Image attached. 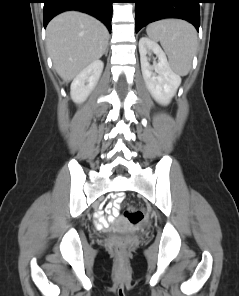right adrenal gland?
Instances as JSON below:
<instances>
[{
  "label": "right adrenal gland",
  "instance_id": "2a0ac1e0",
  "mask_svg": "<svg viewBox=\"0 0 239 296\" xmlns=\"http://www.w3.org/2000/svg\"><path fill=\"white\" fill-rule=\"evenodd\" d=\"M107 53H108V48L106 49V51H105V55L107 56Z\"/></svg>",
  "mask_w": 239,
  "mask_h": 296
}]
</instances>
